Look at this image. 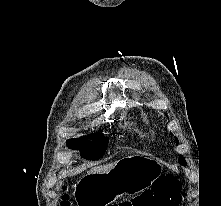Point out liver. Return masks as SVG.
<instances>
[{
    "mask_svg": "<svg viewBox=\"0 0 221 206\" xmlns=\"http://www.w3.org/2000/svg\"><path fill=\"white\" fill-rule=\"evenodd\" d=\"M115 164L100 165L91 168L87 174H102L109 172Z\"/></svg>",
    "mask_w": 221,
    "mask_h": 206,
    "instance_id": "1",
    "label": "liver"
}]
</instances>
